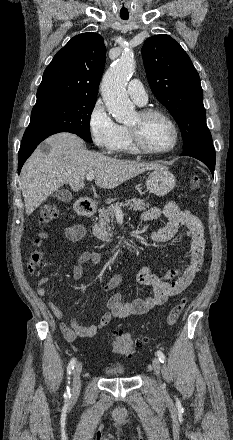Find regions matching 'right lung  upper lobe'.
<instances>
[{
    "mask_svg": "<svg viewBox=\"0 0 233 440\" xmlns=\"http://www.w3.org/2000/svg\"><path fill=\"white\" fill-rule=\"evenodd\" d=\"M105 56L101 35L74 36L45 69L36 103L59 97L97 99Z\"/></svg>",
    "mask_w": 233,
    "mask_h": 440,
    "instance_id": "right-lung-upper-lobe-1",
    "label": "right lung upper lobe"
}]
</instances>
